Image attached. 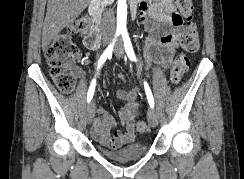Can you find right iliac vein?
<instances>
[{
  "label": "right iliac vein",
  "mask_w": 244,
  "mask_h": 179,
  "mask_svg": "<svg viewBox=\"0 0 244 179\" xmlns=\"http://www.w3.org/2000/svg\"><path fill=\"white\" fill-rule=\"evenodd\" d=\"M95 102L94 100L90 101L88 106H87V110H86V119L87 122L90 123L93 120V116L95 113Z\"/></svg>",
  "instance_id": "1"
}]
</instances>
